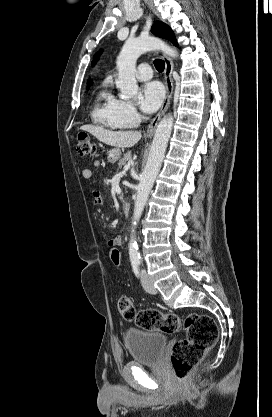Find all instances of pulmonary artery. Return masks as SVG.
Returning a JSON list of instances; mask_svg holds the SVG:
<instances>
[{"instance_id":"obj_1","label":"pulmonary artery","mask_w":272,"mask_h":417,"mask_svg":"<svg viewBox=\"0 0 272 417\" xmlns=\"http://www.w3.org/2000/svg\"><path fill=\"white\" fill-rule=\"evenodd\" d=\"M152 76H153L152 69L148 64L143 63L138 66V69L136 72V77L138 80L146 81V80L151 79Z\"/></svg>"}]
</instances>
